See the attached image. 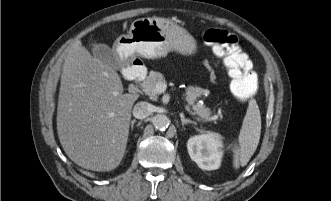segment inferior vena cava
<instances>
[{"label":"inferior vena cava","mask_w":331,"mask_h":201,"mask_svg":"<svg viewBox=\"0 0 331 201\" xmlns=\"http://www.w3.org/2000/svg\"><path fill=\"white\" fill-rule=\"evenodd\" d=\"M152 112V106L147 102H138L133 108V116L137 119H144Z\"/></svg>","instance_id":"602c4592"}]
</instances>
